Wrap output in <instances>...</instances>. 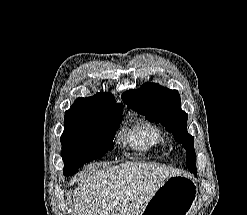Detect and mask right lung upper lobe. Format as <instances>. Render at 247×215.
Returning <instances> with one entry per match:
<instances>
[{
	"instance_id": "right-lung-upper-lobe-1",
	"label": "right lung upper lobe",
	"mask_w": 247,
	"mask_h": 215,
	"mask_svg": "<svg viewBox=\"0 0 247 215\" xmlns=\"http://www.w3.org/2000/svg\"><path fill=\"white\" fill-rule=\"evenodd\" d=\"M75 102L84 108L105 113H122L123 111V105L116 103L114 96L106 92H100L88 98H78Z\"/></svg>"
}]
</instances>
